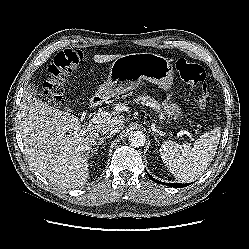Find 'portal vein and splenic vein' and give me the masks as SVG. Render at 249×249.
<instances>
[{
    "label": "portal vein and splenic vein",
    "instance_id": "portal-vein-and-splenic-vein-1",
    "mask_svg": "<svg viewBox=\"0 0 249 249\" xmlns=\"http://www.w3.org/2000/svg\"><path fill=\"white\" fill-rule=\"evenodd\" d=\"M109 118L108 113L107 112H101V113H96L92 118H91V122L92 123H101L106 121Z\"/></svg>",
    "mask_w": 249,
    "mask_h": 249
}]
</instances>
